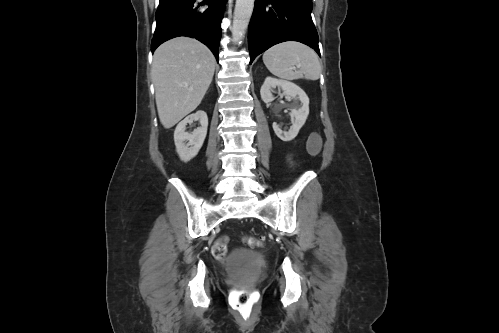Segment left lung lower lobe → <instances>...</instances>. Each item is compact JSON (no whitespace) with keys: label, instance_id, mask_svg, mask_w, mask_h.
<instances>
[{"label":"left lung lower lobe","instance_id":"0a47b994","mask_svg":"<svg viewBox=\"0 0 499 333\" xmlns=\"http://www.w3.org/2000/svg\"><path fill=\"white\" fill-rule=\"evenodd\" d=\"M311 11L312 0H255L248 28L250 64L271 46L285 41L304 43L320 56Z\"/></svg>","mask_w":499,"mask_h":333}]
</instances>
